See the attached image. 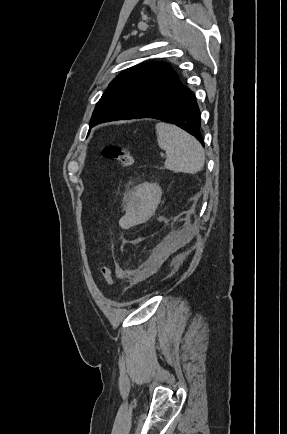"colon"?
Returning <instances> with one entry per match:
<instances>
[{
  "mask_svg": "<svg viewBox=\"0 0 287 434\" xmlns=\"http://www.w3.org/2000/svg\"><path fill=\"white\" fill-rule=\"evenodd\" d=\"M105 157L117 161L122 167H129L133 164V155L130 149L117 145H109L103 149ZM104 283L111 287L113 285V273L108 265H104L101 270Z\"/></svg>",
  "mask_w": 287,
  "mask_h": 434,
  "instance_id": "colon-1",
  "label": "colon"
}]
</instances>
